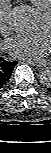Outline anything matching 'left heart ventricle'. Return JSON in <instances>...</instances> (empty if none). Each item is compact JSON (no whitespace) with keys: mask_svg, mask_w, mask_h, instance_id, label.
Listing matches in <instances>:
<instances>
[{"mask_svg":"<svg viewBox=\"0 0 51 153\" xmlns=\"http://www.w3.org/2000/svg\"><path fill=\"white\" fill-rule=\"evenodd\" d=\"M40 29L51 30V23L47 19L42 17L41 23H40Z\"/></svg>","mask_w":51,"mask_h":153,"instance_id":"obj_1","label":"left heart ventricle"}]
</instances>
